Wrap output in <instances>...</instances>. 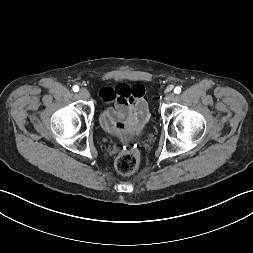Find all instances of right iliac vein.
Returning <instances> with one entry per match:
<instances>
[{
	"mask_svg": "<svg viewBox=\"0 0 253 253\" xmlns=\"http://www.w3.org/2000/svg\"><path fill=\"white\" fill-rule=\"evenodd\" d=\"M79 96H80L81 98H83V99H88L89 96H90V94H89V92H88L87 89L82 88V89H80V91H79Z\"/></svg>",
	"mask_w": 253,
	"mask_h": 253,
	"instance_id": "right-iliac-vein-1",
	"label": "right iliac vein"
}]
</instances>
